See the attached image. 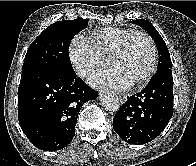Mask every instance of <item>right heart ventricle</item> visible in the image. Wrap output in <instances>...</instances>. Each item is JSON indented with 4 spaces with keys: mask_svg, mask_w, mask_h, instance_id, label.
<instances>
[{
    "mask_svg": "<svg viewBox=\"0 0 196 166\" xmlns=\"http://www.w3.org/2000/svg\"><path fill=\"white\" fill-rule=\"evenodd\" d=\"M132 32L134 31L131 29L109 26L94 31L89 40L104 57L110 59L122 41Z\"/></svg>",
    "mask_w": 196,
    "mask_h": 166,
    "instance_id": "e07e8e85",
    "label": "right heart ventricle"
}]
</instances>
